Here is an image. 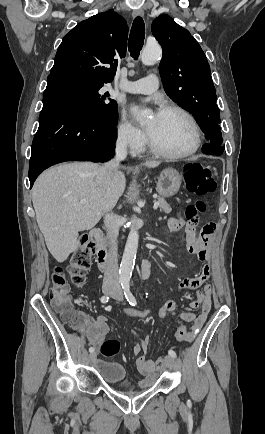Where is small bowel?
<instances>
[{
  "label": "small bowel",
  "mask_w": 265,
  "mask_h": 434,
  "mask_svg": "<svg viewBox=\"0 0 265 434\" xmlns=\"http://www.w3.org/2000/svg\"><path fill=\"white\" fill-rule=\"evenodd\" d=\"M184 226L188 243V252L195 255L201 262L205 263L196 276L183 278L179 283V288L181 290H196V299L190 302L189 306L192 309H197L198 313L180 311L173 300L166 301L159 309L158 313L155 310H152L150 313L152 315L157 313V316L160 319L165 318L167 315H171L182 321L191 323V327L189 329L187 328L189 332L188 342H191L203 327L211 310V286L207 283L211 275V270L207 263V247L213 233L206 239L201 238L200 234H196L195 223L189 222L185 224L180 215L171 217L168 221V227L172 232L178 231ZM125 310V313L130 318H145V315L149 314L148 310H130L129 306H126ZM76 315L79 323L77 325L72 324V326L83 334L91 345L94 347L98 346L108 332L107 317L101 314L94 318L83 311H77ZM149 341V338H145L138 342L135 347L136 351L141 352L136 360V364L140 373L145 376V378L141 380V385L143 387H148L150 383H155L158 380L155 373L154 363L152 360L147 358Z\"/></svg>",
  "instance_id": "small-bowel-1"
}]
</instances>
